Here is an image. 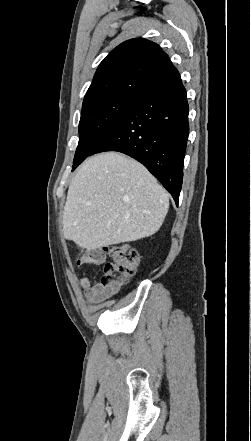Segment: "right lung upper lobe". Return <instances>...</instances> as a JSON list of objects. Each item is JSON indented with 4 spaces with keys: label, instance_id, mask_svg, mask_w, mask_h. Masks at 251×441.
I'll list each match as a JSON object with an SVG mask.
<instances>
[{
    "label": "right lung upper lobe",
    "instance_id": "1",
    "mask_svg": "<svg viewBox=\"0 0 251 441\" xmlns=\"http://www.w3.org/2000/svg\"><path fill=\"white\" fill-rule=\"evenodd\" d=\"M178 73L168 55L149 40H127L100 63L82 107L112 97L143 96L156 84Z\"/></svg>",
    "mask_w": 251,
    "mask_h": 441
}]
</instances>
